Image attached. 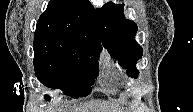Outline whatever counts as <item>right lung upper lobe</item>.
Returning a JSON list of instances; mask_svg holds the SVG:
<instances>
[{"mask_svg": "<svg viewBox=\"0 0 193 112\" xmlns=\"http://www.w3.org/2000/svg\"><path fill=\"white\" fill-rule=\"evenodd\" d=\"M34 35L73 37L101 49L95 10L89 0H51Z\"/></svg>", "mask_w": 193, "mask_h": 112, "instance_id": "cb5924a9", "label": "right lung upper lobe"}]
</instances>
